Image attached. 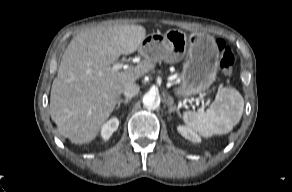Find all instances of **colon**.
Returning <instances> with one entry per match:
<instances>
[{
    "label": "colon",
    "mask_w": 292,
    "mask_h": 192,
    "mask_svg": "<svg viewBox=\"0 0 292 192\" xmlns=\"http://www.w3.org/2000/svg\"><path fill=\"white\" fill-rule=\"evenodd\" d=\"M217 50L219 55V66L223 74L230 75L233 70L235 56L233 50L222 40L217 41Z\"/></svg>",
    "instance_id": "obj_1"
}]
</instances>
